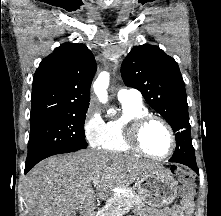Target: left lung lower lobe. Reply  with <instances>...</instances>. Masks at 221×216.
<instances>
[{
  "instance_id": "0a47b994",
  "label": "left lung lower lobe",
  "mask_w": 221,
  "mask_h": 216,
  "mask_svg": "<svg viewBox=\"0 0 221 216\" xmlns=\"http://www.w3.org/2000/svg\"><path fill=\"white\" fill-rule=\"evenodd\" d=\"M169 161L187 165L196 173H199L196 165L195 151L187 146L176 145L175 152Z\"/></svg>"
}]
</instances>
